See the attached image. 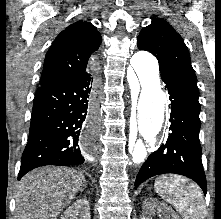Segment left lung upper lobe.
<instances>
[{
    "label": "left lung upper lobe",
    "mask_w": 221,
    "mask_h": 219,
    "mask_svg": "<svg viewBox=\"0 0 221 219\" xmlns=\"http://www.w3.org/2000/svg\"><path fill=\"white\" fill-rule=\"evenodd\" d=\"M137 46L158 59L161 77L170 76L198 90L188 49L169 23L160 18L152 19L140 32Z\"/></svg>",
    "instance_id": "obj_1"
}]
</instances>
